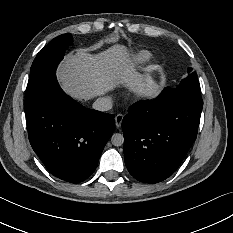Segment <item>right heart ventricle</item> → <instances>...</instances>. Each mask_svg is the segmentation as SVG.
<instances>
[{
	"label": "right heart ventricle",
	"mask_w": 233,
	"mask_h": 233,
	"mask_svg": "<svg viewBox=\"0 0 233 233\" xmlns=\"http://www.w3.org/2000/svg\"><path fill=\"white\" fill-rule=\"evenodd\" d=\"M151 56L152 55L149 51L140 50L131 56L129 63L134 68H140L143 67L150 60Z\"/></svg>",
	"instance_id": "obj_1"
}]
</instances>
